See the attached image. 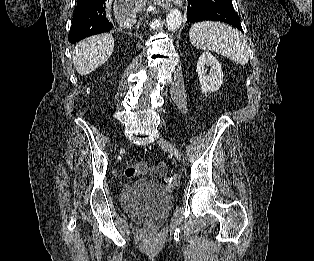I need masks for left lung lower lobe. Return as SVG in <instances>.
<instances>
[{"label":"left lung lower lobe","instance_id":"obj_1","mask_svg":"<svg viewBox=\"0 0 314 261\" xmlns=\"http://www.w3.org/2000/svg\"><path fill=\"white\" fill-rule=\"evenodd\" d=\"M204 20L223 21L243 32L230 0H188L187 22Z\"/></svg>","mask_w":314,"mask_h":261}]
</instances>
